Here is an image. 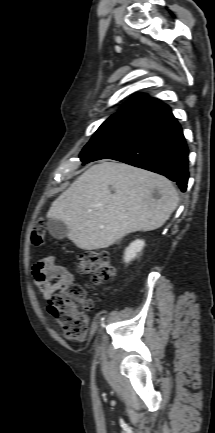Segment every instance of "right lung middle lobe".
<instances>
[{
    "mask_svg": "<svg viewBox=\"0 0 215 433\" xmlns=\"http://www.w3.org/2000/svg\"><path fill=\"white\" fill-rule=\"evenodd\" d=\"M148 119L119 118L106 120L83 148L80 159L83 163L107 158L121 150L141 131Z\"/></svg>",
    "mask_w": 215,
    "mask_h": 433,
    "instance_id": "obj_1",
    "label": "right lung middle lobe"
}]
</instances>
